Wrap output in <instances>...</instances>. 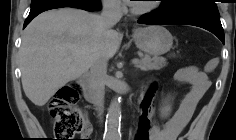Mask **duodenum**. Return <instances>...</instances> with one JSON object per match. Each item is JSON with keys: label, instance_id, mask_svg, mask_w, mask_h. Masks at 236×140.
I'll return each instance as SVG.
<instances>
[{"label": "duodenum", "instance_id": "410a0bca", "mask_svg": "<svg viewBox=\"0 0 236 140\" xmlns=\"http://www.w3.org/2000/svg\"><path fill=\"white\" fill-rule=\"evenodd\" d=\"M79 85L81 87L84 99L88 103H95L97 101V94L95 89L92 85V78L91 75L88 73L82 74L78 78Z\"/></svg>", "mask_w": 236, "mask_h": 140}]
</instances>
